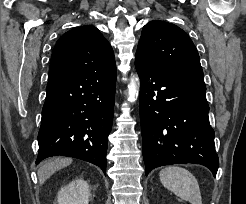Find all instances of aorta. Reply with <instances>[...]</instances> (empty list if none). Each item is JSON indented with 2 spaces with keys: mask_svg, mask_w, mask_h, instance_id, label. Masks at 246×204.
<instances>
[{
  "mask_svg": "<svg viewBox=\"0 0 246 204\" xmlns=\"http://www.w3.org/2000/svg\"><path fill=\"white\" fill-rule=\"evenodd\" d=\"M139 79L133 76L128 85V101L134 102L138 96Z\"/></svg>",
  "mask_w": 246,
  "mask_h": 204,
  "instance_id": "obj_1",
  "label": "aorta"
}]
</instances>
